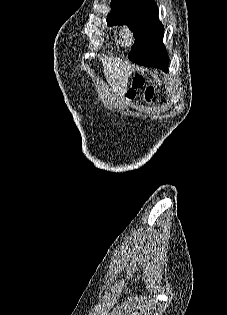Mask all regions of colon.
<instances>
[{"instance_id": "obj_1", "label": "colon", "mask_w": 227, "mask_h": 315, "mask_svg": "<svg viewBox=\"0 0 227 315\" xmlns=\"http://www.w3.org/2000/svg\"><path fill=\"white\" fill-rule=\"evenodd\" d=\"M144 89V98L146 101H149L152 99L154 95V87L152 85L145 86V77L143 74H135L131 80L130 86L127 90V97L132 99L135 97L136 92Z\"/></svg>"}]
</instances>
